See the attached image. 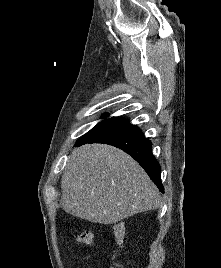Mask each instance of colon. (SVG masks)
<instances>
[{
  "mask_svg": "<svg viewBox=\"0 0 221 268\" xmlns=\"http://www.w3.org/2000/svg\"><path fill=\"white\" fill-rule=\"evenodd\" d=\"M113 234L120 244L123 243L126 234L124 225L121 223L115 224L113 226ZM76 239L78 242L82 244L89 245L93 242V233L90 230L80 231L76 235ZM111 268H124V267L116 264L114 267Z\"/></svg>",
  "mask_w": 221,
  "mask_h": 268,
  "instance_id": "5ec220e1",
  "label": "colon"
}]
</instances>
